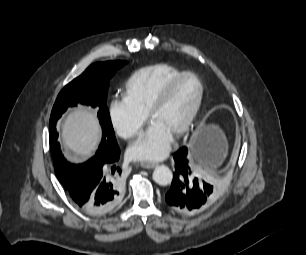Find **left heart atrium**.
Listing matches in <instances>:
<instances>
[{
    "mask_svg": "<svg viewBox=\"0 0 306 255\" xmlns=\"http://www.w3.org/2000/svg\"><path fill=\"white\" fill-rule=\"evenodd\" d=\"M173 134L152 122L147 132L128 149V155L134 160H160L171 149Z\"/></svg>",
    "mask_w": 306,
    "mask_h": 255,
    "instance_id": "left-heart-atrium-1",
    "label": "left heart atrium"
}]
</instances>
